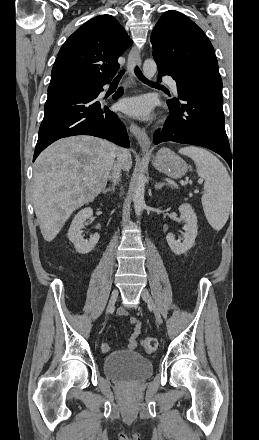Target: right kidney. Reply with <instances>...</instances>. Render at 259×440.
Masks as SVG:
<instances>
[{
    "instance_id": "obj_1",
    "label": "right kidney",
    "mask_w": 259,
    "mask_h": 440,
    "mask_svg": "<svg viewBox=\"0 0 259 440\" xmlns=\"http://www.w3.org/2000/svg\"><path fill=\"white\" fill-rule=\"evenodd\" d=\"M92 216L93 210L90 207L82 209L74 217L68 231L69 240L74 244V248L80 254H87L91 252L95 248L100 238L99 234L97 233L93 234L89 240H85L81 235L82 228L84 227L86 220L91 219Z\"/></svg>"
}]
</instances>
